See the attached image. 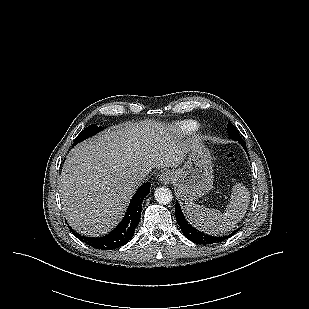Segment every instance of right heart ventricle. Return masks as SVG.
<instances>
[{
    "mask_svg": "<svg viewBox=\"0 0 309 309\" xmlns=\"http://www.w3.org/2000/svg\"><path fill=\"white\" fill-rule=\"evenodd\" d=\"M182 128L187 130V131H193L195 129H197L198 125L197 123L193 122V121H187L181 124Z\"/></svg>",
    "mask_w": 309,
    "mask_h": 309,
    "instance_id": "1",
    "label": "right heart ventricle"
}]
</instances>
